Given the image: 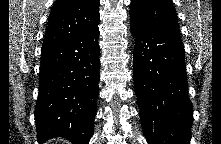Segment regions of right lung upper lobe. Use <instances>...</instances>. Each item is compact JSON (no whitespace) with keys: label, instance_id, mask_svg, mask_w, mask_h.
Wrapping results in <instances>:
<instances>
[{"label":"right lung upper lobe","instance_id":"right-lung-upper-lobe-1","mask_svg":"<svg viewBox=\"0 0 221 144\" xmlns=\"http://www.w3.org/2000/svg\"><path fill=\"white\" fill-rule=\"evenodd\" d=\"M99 0H57L50 12L42 51L70 41L98 25Z\"/></svg>","mask_w":221,"mask_h":144}]
</instances>
